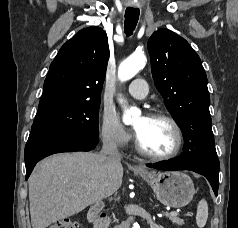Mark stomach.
<instances>
[{
    "instance_id": "0dacf381",
    "label": "stomach",
    "mask_w": 238,
    "mask_h": 228,
    "mask_svg": "<svg viewBox=\"0 0 238 228\" xmlns=\"http://www.w3.org/2000/svg\"><path fill=\"white\" fill-rule=\"evenodd\" d=\"M153 189L165 206L181 208L193 199L195 189L191 178L179 171L143 172L135 170Z\"/></svg>"
}]
</instances>
